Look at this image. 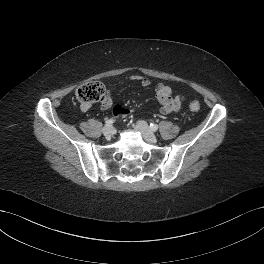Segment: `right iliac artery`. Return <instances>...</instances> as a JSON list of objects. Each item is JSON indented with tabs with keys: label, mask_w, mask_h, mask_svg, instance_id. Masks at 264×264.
I'll return each mask as SVG.
<instances>
[{
	"label": "right iliac artery",
	"mask_w": 264,
	"mask_h": 264,
	"mask_svg": "<svg viewBox=\"0 0 264 264\" xmlns=\"http://www.w3.org/2000/svg\"><path fill=\"white\" fill-rule=\"evenodd\" d=\"M112 123H114V120L113 119H109V120H106L105 121V124L106 125H111Z\"/></svg>",
	"instance_id": "82829eb1"
}]
</instances>
